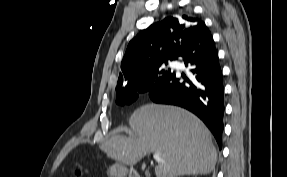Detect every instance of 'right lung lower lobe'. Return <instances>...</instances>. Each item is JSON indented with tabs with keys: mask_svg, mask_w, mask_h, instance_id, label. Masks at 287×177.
I'll use <instances>...</instances> for the list:
<instances>
[{
	"mask_svg": "<svg viewBox=\"0 0 287 177\" xmlns=\"http://www.w3.org/2000/svg\"><path fill=\"white\" fill-rule=\"evenodd\" d=\"M190 67L192 76L172 73L154 85L148 95L155 103L181 106L197 115L222 147L224 87L218 53L208 28L185 45L180 57Z\"/></svg>",
	"mask_w": 287,
	"mask_h": 177,
	"instance_id": "right-lung-lower-lobe-1",
	"label": "right lung lower lobe"
}]
</instances>
